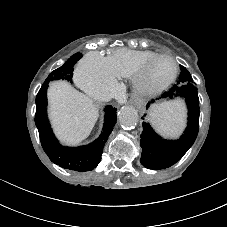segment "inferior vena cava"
I'll return each instance as SVG.
<instances>
[{
  "label": "inferior vena cava",
  "mask_w": 227,
  "mask_h": 227,
  "mask_svg": "<svg viewBox=\"0 0 227 227\" xmlns=\"http://www.w3.org/2000/svg\"><path fill=\"white\" fill-rule=\"evenodd\" d=\"M98 99L101 101H108L110 99V97L108 96H98Z\"/></svg>",
  "instance_id": "602c4592"
}]
</instances>
